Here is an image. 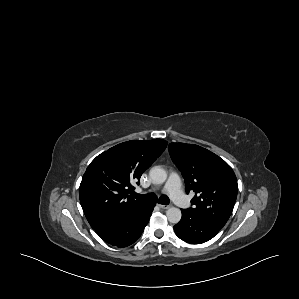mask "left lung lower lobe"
<instances>
[{
  "label": "left lung lower lobe",
  "instance_id": "obj_1",
  "mask_svg": "<svg viewBox=\"0 0 299 299\" xmlns=\"http://www.w3.org/2000/svg\"><path fill=\"white\" fill-rule=\"evenodd\" d=\"M174 231L187 243L201 244L212 239L220 229L185 209L182 210V219L174 226Z\"/></svg>",
  "mask_w": 299,
  "mask_h": 299
}]
</instances>
